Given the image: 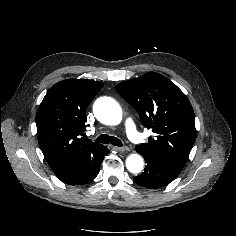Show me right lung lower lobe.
<instances>
[{
  "label": "right lung lower lobe",
  "instance_id": "obj_1",
  "mask_svg": "<svg viewBox=\"0 0 236 236\" xmlns=\"http://www.w3.org/2000/svg\"><path fill=\"white\" fill-rule=\"evenodd\" d=\"M108 153L109 150L104 146L93 156L78 161L70 172L58 178L68 185L86 184L97 176L100 165Z\"/></svg>",
  "mask_w": 236,
  "mask_h": 236
}]
</instances>
